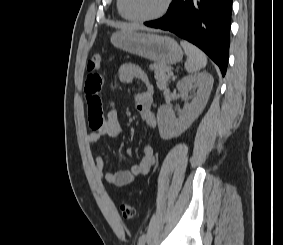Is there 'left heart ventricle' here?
Segmentation results:
<instances>
[{
    "mask_svg": "<svg viewBox=\"0 0 283 245\" xmlns=\"http://www.w3.org/2000/svg\"><path fill=\"white\" fill-rule=\"evenodd\" d=\"M165 0H127L128 12L135 17H148L156 14Z\"/></svg>",
    "mask_w": 283,
    "mask_h": 245,
    "instance_id": "1",
    "label": "left heart ventricle"
}]
</instances>
